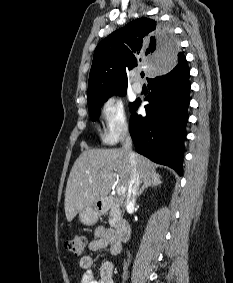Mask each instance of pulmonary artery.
<instances>
[{
  "mask_svg": "<svg viewBox=\"0 0 233 283\" xmlns=\"http://www.w3.org/2000/svg\"><path fill=\"white\" fill-rule=\"evenodd\" d=\"M137 78V76H136ZM132 89L135 93H140L142 91V85L138 82H135L132 86Z\"/></svg>",
  "mask_w": 233,
  "mask_h": 283,
  "instance_id": "obj_1",
  "label": "pulmonary artery"
}]
</instances>
